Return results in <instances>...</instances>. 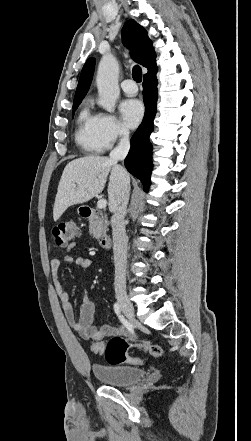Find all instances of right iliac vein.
<instances>
[{
  "instance_id": "1",
  "label": "right iliac vein",
  "mask_w": 251,
  "mask_h": 441,
  "mask_svg": "<svg viewBox=\"0 0 251 441\" xmlns=\"http://www.w3.org/2000/svg\"><path fill=\"white\" fill-rule=\"evenodd\" d=\"M117 300L125 316L129 319L131 323H135L134 307L128 299L127 295L125 293H118Z\"/></svg>"
}]
</instances>
